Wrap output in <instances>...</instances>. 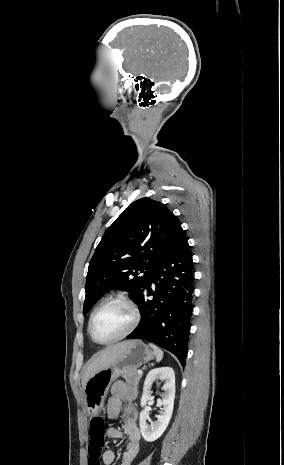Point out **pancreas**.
Returning a JSON list of instances; mask_svg holds the SVG:
<instances>
[{"mask_svg": "<svg viewBox=\"0 0 284 465\" xmlns=\"http://www.w3.org/2000/svg\"><path fill=\"white\" fill-rule=\"evenodd\" d=\"M122 377L125 379L127 385L134 387V389H138V383L142 375H138L137 371H126V373H122Z\"/></svg>", "mask_w": 284, "mask_h": 465, "instance_id": "1", "label": "pancreas"}]
</instances>
